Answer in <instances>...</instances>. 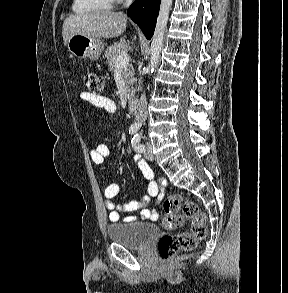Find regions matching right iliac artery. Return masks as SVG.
<instances>
[{"mask_svg": "<svg viewBox=\"0 0 288 293\" xmlns=\"http://www.w3.org/2000/svg\"><path fill=\"white\" fill-rule=\"evenodd\" d=\"M138 128L136 126H131L129 129V134L133 135L137 132Z\"/></svg>", "mask_w": 288, "mask_h": 293, "instance_id": "obj_1", "label": "right iliac artery"}]
</instances>
